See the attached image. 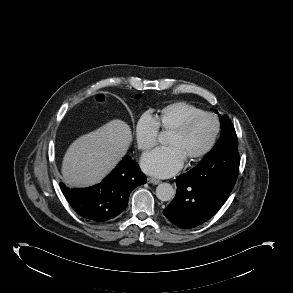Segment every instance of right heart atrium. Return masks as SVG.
I'll return each mask as SVG.
<instances>
[{
	"instance_id": "right-heart-atrium-1",
	"label": "right heart atrium",
	"mask_w": 293,
	"mask_h": 293,
	"mask_svg": "<svg viewBox=\"0 0 293 293\" xmlns=\"http://www.w3.org/2000/svg\"><path fill=\"white\" fill-rule=\"evenodd\" d=\"M134 134L137 146L142 152L153 148L157 143L159 134V127L154 116L143 113L135 123Z\"/></svg>"
}]
</instances>
